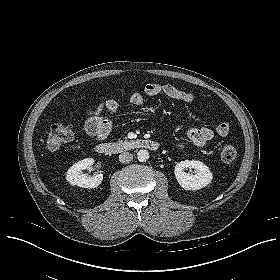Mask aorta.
<instances>
[{"label":"aorta","mask_w":280,"mask_h":280,"mask_svg":"<svg viewBox=\"0 0 280 280\" xmlns=\"http://www.w3.org/2000/svg\"><path fill=\"white\" fill-rule=\"evenodd\" d=\"M137 158L140 162H146L149 159V152L146 149H141L137 152Z\"/></svg>","instance_id":"obj_1"}]
</instances>
